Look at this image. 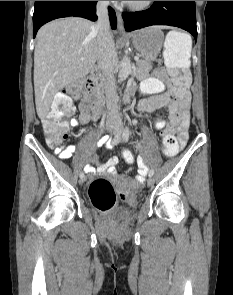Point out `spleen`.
Segmentation results:
<instances>
[{
	"label": "spleen",
	"mask_w": 233,
	"mask_h": 295,
	"mask_svg": "<svg viewBox=\"0 0 233 295\" xmlns=\"http://www.w3.org/2000/svg\"><path fill=\"white\" fill-rule=\"evenodd\" d=\"M192 49L191 37L187 34L170 31L164 43V60L167 66L184 67L190 65Z\"/></svg>",
	"instance_id": "spleen-1"
}]
</instances>
